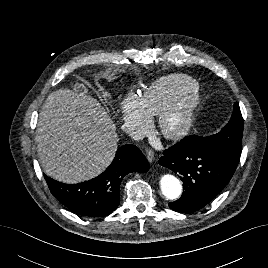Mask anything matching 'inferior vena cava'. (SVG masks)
<instances>
[{
	"label": "inferior vena cava",
	"instance_id": "1",
	"mask_svg": "<svg viewBox=\"0 0 268 268\" xmlns=\"http://www.w3.org/2000/svg\"><path fill=\"white\" fill-rule=\"evenodd\" d=\"M122 130L126 132L129 136H131L134 140L142 139V135L134 127H131L129 125H123Z\"/></svg>",
	"mask_w": 268,
	"mask_h": 268
}]
</instances>
